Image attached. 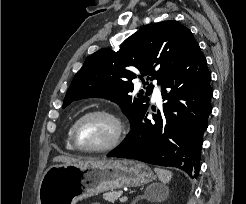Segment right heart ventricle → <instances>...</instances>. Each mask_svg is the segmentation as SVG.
Instances as JSON below:
<instances>
[{"label": "right heart ventricle", "instance_id": "e07e8e85", "mask_svg": "<svg viewBox=\"0 0 246 204\" xmlns=\"http://www.w3.org/2000/svg\"><path fill=\"white\" fill-rule=\"evenodd\" d=\"M71 128H72V125L68 129L67 138H66V146L69 149H73L74 148V146H73V144L71 142Z\"/></svg>", "mask_w": 246, "mask_h": 204}]
</instances>
